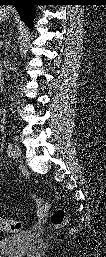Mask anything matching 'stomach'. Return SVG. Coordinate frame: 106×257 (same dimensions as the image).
I'll return each instance as SVG.
<instances>
[{
	"mask_svg": "<svg viewBox=\"0 0 106 257\" xmlns=\"http://www.w3.org/2000/svg\"><path fill=\"white\" fill-rule=\"evenodd\" d=\"M8 17H9V11H8L7 9H2V10H1L0 19H1L2 21H5V20L8 19Z\"/></svg>",
	"mask_w": 106,
	"mask_h": 257,
	"instance_id": "0dacf381",
	"label": "stomach"
}]
</instances>
